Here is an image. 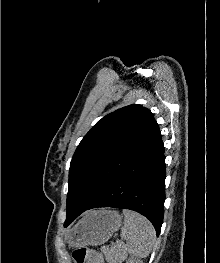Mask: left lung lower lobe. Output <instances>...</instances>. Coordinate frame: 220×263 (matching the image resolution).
<instances>
[{
    "mask_svg": "<svg viewBox=\"0 0 220 263\" xmlns=\"http://www.w3.org/2000/svg\"><path fill=\"white\" fill-rule=\"evenodd\" d=\"M164 182V146L159 133L86 209L67 211L64 226L67 227L88 209L123 208L147 217L154 225L158 236L164 214Z\"/></svg>",
    "mask_w": 220,
    "mask_h": 263,
    "instance_id": "1",
    "label": "left lung lower lobe"
}]
</instances>
